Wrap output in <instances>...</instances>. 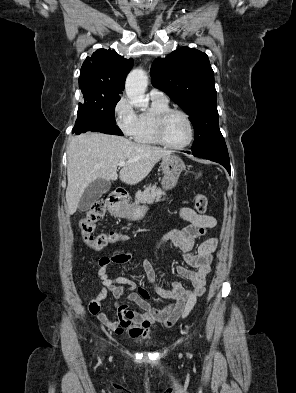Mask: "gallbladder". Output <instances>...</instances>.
<instances>
[{
    "mask_svg": "<svg viewBox=\"0 0 296 393\" xmlns=\"http://www.w3.org/2000/svg\"><path fill=\"white\" fill-rule=\"evenodd\" d=\"M111 183L108 180L98 178L93 181L84 191L78 209L82 212L89 210L94 203L106 192L109 191Z\"/></svg>",
    "mask_w": 296,
    "mask_h": 393,
    "instance_id": "obj_1",
    "label": "gallbladder"
}]
</instances>
